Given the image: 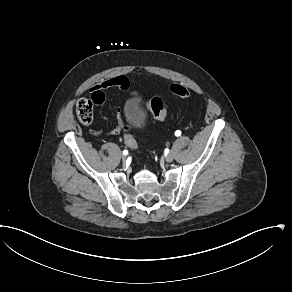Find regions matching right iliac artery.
Returning <instances> with one entry per match:
<instances>
[{
  "mask_svg": "<svg viewBox=\"0 0 292 292\" xmlns=\"http://www.w3.org/2000/svg\"><path fill=\"white\" fill-rule=\"evenodd\" d=\"M127 154H128V150H124L123 155H127Z\"/></svg>",
  "mask_w": 292,
  "mask_h": 292,
  "instance_id": "1",
  "label": "right iliac artery"
}]
</instances>
